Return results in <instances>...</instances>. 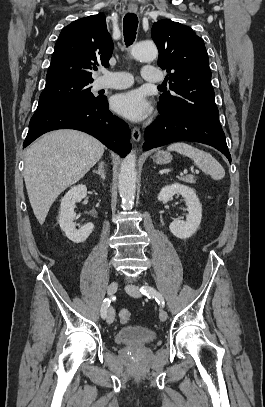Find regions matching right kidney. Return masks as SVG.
<instances>
[{"instance_id":"obj_1","label":"right kidney","mask_w":265,"mask_h":407,"mask_svg":"<svg viewBox=\"0 0 265 407\" xmlns=\"http://www.w3.org/2000/svg\"><path fill=\"white\" fill-rule=\"evenodd\" d=\"M86 195L87 188L81 184L72 187L61 200L58 222L66 237L74 243L84 242L94 228L93 223H87L80 229H76L73 222L76 216L74 212L75 204L85 198Z\"/></svg>"}]
</instances>
